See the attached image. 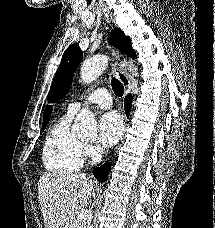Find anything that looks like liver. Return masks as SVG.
<instances>
[{
    "label": "liver",
    "instance_id": "1",
    "mask_svg": "<svg viewBox=\"0 0 215 228\" xmlns=\"http://www.w3.org/2000/svg\"><path fill=\"white\" fill-rule=\"evenodd\" d=\"M95 180L87 174L49 172L38 182L45 228H76V210L88 206Z\"/></svg>",
    "mask_w": 215,
    "mask_h": 228
}]
</instances>
